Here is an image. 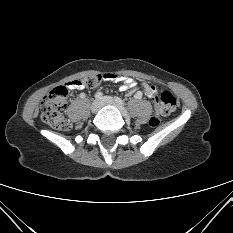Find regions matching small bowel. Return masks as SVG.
Returning <instances> with one entry per match:
<instances>
[{
  "label": "small bowel",
  "mask_w": 233,
  "mask_h": 233,
  "mask_svg": "<svg viewBox=\"0 0 233 233\" xmlns=\"http://www.w3.org/2000/svg\"><path fill=\"white\" fill-rule=\"evenodd\" d=\"M103 80L109 81V82L120 83L122 90H128L136 85V82L134 79L128 78V77H122V76H119L118 74H104ZM83 83H84L83 80L79 78L77 80L67 82L65 86L69 90L77 89L83 93L87 89ZM141 87H142V90H137L135 92L134 94L135 98L139 99L143 96V94H145L146 96L152 99H155V97L157 96V89L154 86L143 82L141 84Z\"/></svg>",
  "instance_id": "c3829d8e"
}]
</instances>
